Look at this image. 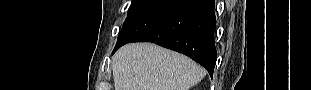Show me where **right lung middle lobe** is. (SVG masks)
I'll return each instance as SVG.
<instances>
[{"label":"right lung middle lobe","instance_id":"right-lung-middle-lobe-1","mask_svg":"<svg viewBox=\"0 0 311 90\" xmlns=\"http://www.w3.org/2000/svg\"><path fill=\"white\" fill-rule=\"evenodd\" d=\"M190 0H133L115 47L137 39L162 24Z\"/></svg>","mask_w":311,"mask_h":90}]
</instances>
